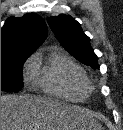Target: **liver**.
<instances>
[{
  "mask_svg": "<svg viewBox=\"0 0 123 130\" xmlns=\"http://www.w3.org/2000/svg\"><path fill=\"white\" fill-rule=\"evenodd\" d=\"M89 112L32 95L1 96V130H97Z\"/></svg>",
  "mask_w": 123,
  "mask_h": 130,
  "instance_id": "obj_1",
  "label": "liver"
}]
</instances>
